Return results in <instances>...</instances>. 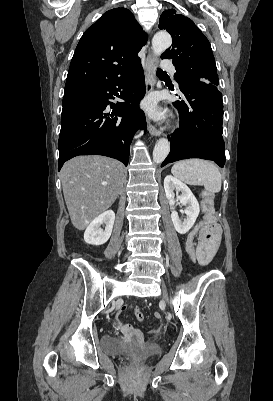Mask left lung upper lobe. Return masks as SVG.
Instances as JSON below:
<instances>
[{"instance_id":"obj_1","label":"left lung upper lobe","mask_w":273,"mask_h":401,"mask_svg":"<svg viewBox=\"0 0 273 401\" xmlns=\"http://www.w3.org/2000/svg\"><path fill=\"white\" fill-rule=\"evenodd\" d=\"M159 28L165 29L172 36L173 44L161 58L173 59L177 82L201 80L218 86L211 45L191 19L169 9L161 14Z\"/></svg>"}]
</instances>
